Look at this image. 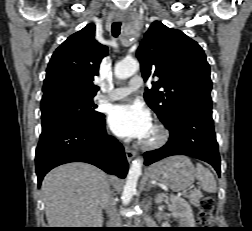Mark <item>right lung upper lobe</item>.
<instances>
[{"label":"right lung upper lobe","instance_id":"right-lung-upper-lobe-1","mask_svg":"<svg viewBox=\"0 0 252 231\" xmlns=\"http://www.w3.org/2000/svg\"><path fill=\"white\" fill-rule=\"evenodd\" d=\"M107 54V46L95 39L92 23L69 36L48 64L42 99L66 93L94 97L99 87L92 81Z\"/></svg>","mask_w":252,"mask_h":231}]
</instances>
